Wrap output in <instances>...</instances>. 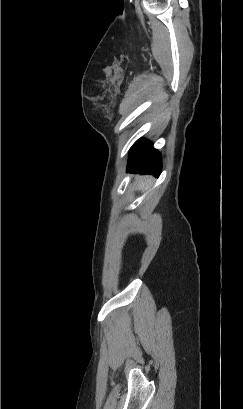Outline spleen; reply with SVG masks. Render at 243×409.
<instances>
[{
    "label": "spleen",
    "instance_id": "3e777b00",
    "mask_svg": "<svg viewBox=\"0 0 243 409\" xmlns=\"http://www.w3.org/2000/svg\"><path fill=\"white\" fill-rule=\"evenodd\" d=\"M145 186H144V183L142 182L141 184H140V188H144Z\"/></svg>",
    "mask_w": 243,
    "mask_h": 409
}]
</instances>
